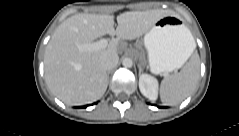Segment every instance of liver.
<instances>
[{
	"label": "liver",
	"mask_w": 239,
	"mask_h": 136,
	"mask_svg": "<svg viewBox=\"0 0 239 136\" xmlns=\"http://www.w3.org/2000/svg\"><path fill=\"white\" fill-rule=\"evenodd\" d=\"M171 10L129 11L113 15L77 14L64 20L53 33L44 54L46 83L51 92L67 105H83L100 99L108 85L102 66L104 56L118 55L121 39L134 40L147 33ZM117 36L106 48L80 51L78 45L91 43L104 35Z\"/></svg>",
	"instance_id": "1"
}]
</instances>
